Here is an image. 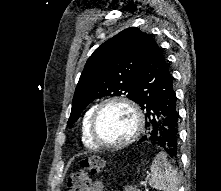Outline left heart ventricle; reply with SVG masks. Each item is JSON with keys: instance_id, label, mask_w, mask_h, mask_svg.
I'll use <instances>...</instances> for the list:
<instances>
[{"instance_id": "1", "label": "left heart ventricle", "mask_w": 221, "mask_h": 191, "mask_svg": "<svg viewBox=\"0 0 221 191\" xmlns=\"http://www.w3.org/2000/svg\"><path fill=\"white\" fill-rule=\"evenodd\" d=\"M133 113L124 105L110 104L103 108L97 121V133L107 143L125 140L134 130Z\"/></svg>"}]
</instances>
